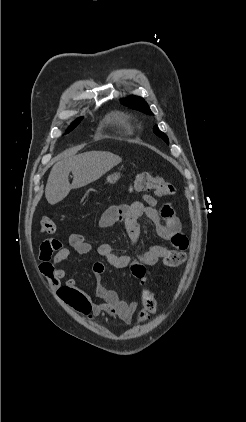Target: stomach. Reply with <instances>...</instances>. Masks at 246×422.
<instances>
[{"instance_id": "1", "label": "stomach", "mask_w": 246, "mask_h": 422, "mask_svg": "<svg viewBox=\"0 0 246 422\" xmlns=\"http://www.w3.org/2000/svg\"><path fill=\"white\" fill-rule=\"evenodd\" d=\"M120 178V175L117 173L111 174L107 177V182L110 184H114L118 181V179Z\"/></svg>"}]
</instances>
